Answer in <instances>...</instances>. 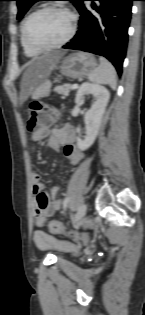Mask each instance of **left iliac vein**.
I'll use <instances>...</instances> for the list:
<instances>
[{
    "label": "left iliac vein",
    "mask_w": 145,
    "mask_h": 315,
    "mask_svg": "<svg viewBox=\"0 0 145 315\" xmlns=\"http://www.w3.org/2000/svg\"><path fill=\"white\" fill-rule=\"evenodd\" d=\"M87 212V205L85 203L81 204L77 210V213L74 217L73 220V226L77 227L80 225L81 221L83 220V218L85 217Z\"/></svg>",
    "instance_id": "left-iliac-vein-1"
}]
</instances>
